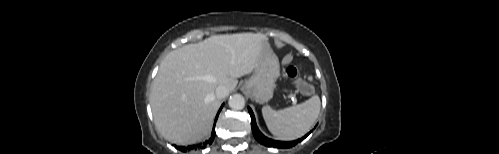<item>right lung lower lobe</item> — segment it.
<instances>
[{
	"instance_id": "1",
	"label": "right lung lower lobe",
	"mask_w": 499,
	"mask_h": 154,
	"mask_svg": "<svg viewBox=\"0 0 499 154\" xmlns=\"http://www.w3.org/2000/svg\"><path fill=\"white\" fill-rule=\"evenodd\" d=\"M222 107H223V105L221 106V108H220V110H219V112H218V114L216 116V120L218 118V115H219ZM214 137H215V124H214V128H213V131H212L211 138L209 139V141L204 142V144H203V146L201 148H205L206 144H211L213 142V140H214ZM175 148L178 149V150H180V151L186 152L187 150L193 149L194 146L184 147V146H176L175 145Z\"/></svg>"
}]
</instances>
